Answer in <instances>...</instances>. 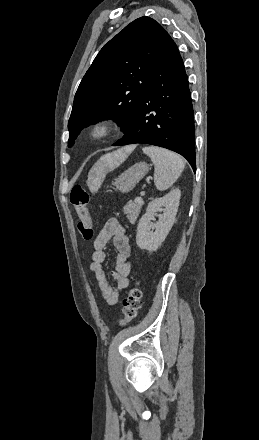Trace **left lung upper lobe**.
Wrapping results in <instances>:
<instances>
[{
  "mask_svg": "<svg viewBox=\"0 0 259 440\" xmlns=\"http://www.w3.org/2000/svg\"><path fill=\"white\" fill-rule=\"evenodd\" d=\"M168 37L154 19L140 17L104 45L75 94L69 147L98 120L114 119L123 130L130 125Z\"/></svg>",
  "mask_w": 259,
  "mask_h": 440,
  "instance_id": "obj_1",
  "label": "left lung upper lobe"
}]
</instances>
